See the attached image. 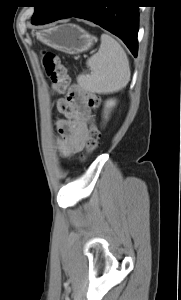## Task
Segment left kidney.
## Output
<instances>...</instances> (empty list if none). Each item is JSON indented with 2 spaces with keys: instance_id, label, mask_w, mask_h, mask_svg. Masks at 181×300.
Here are the masks:
<instances>
[{
  "instance_id": "5707ae66",
  "label": "left kidney",
  "mask_w": 181,
  "mask_h": 300,
  "mask_svg": "<svg viewBox=\"0 0 181 300\" xmlns=\"http://www.w3.org/2000/svg\"><path fill=\"white\" fill-rule=\"evenodd\" d=\"M116 105V100L114 99H110V100H107L105 102V118L107 119L108 117V112L111 108H113L114 106Z\"/></svg>"
}]
</instances>
